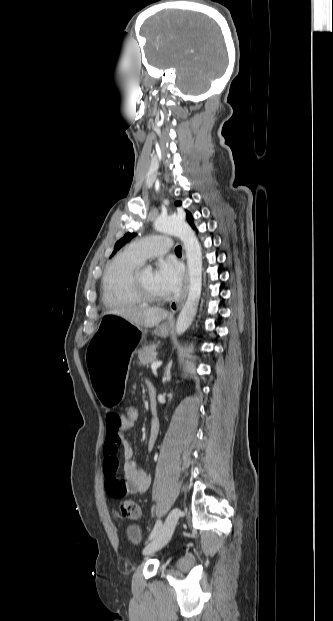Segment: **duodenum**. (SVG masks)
Listing matches in <instances>:
<instances>
[{
    "label": "duodenum",
    "instance_id": "obj_1",
    "mask_svg": "<svg viewBox=\"0 0 333 621\" xmlns=\"http://www.w3.org/2000/svg\"><path fill=\"white\" fill-rule=\"evenodd\" d=\"M149 396H150V402H151L152 406H154V403H155V391H154V388L151 385L149 386ZM152 424L153 425H157L158 424L157 419L155 417L154 408H153Z\"/></svg>",
    "mask_w": 333,
    "mask_h": 621
}]
</instances>
